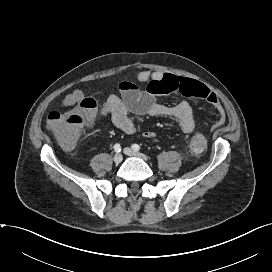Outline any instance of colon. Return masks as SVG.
Here are the masks:
<instances>
[{
    "mask_svg": "<svg viewBox=\"0 0 272 272\" xmlns=\"http://www.w3.org/2000/svg\"><path fill=\"white\" fill-rule=\"evenodd\" d=\"M95 109L94 99L84 97L79 91H74L64 100L63 111H53L48 115L47 126L62 146L73 147ZM206 144V138L197 134L191 138L190 149L194 153H201Z\"/></svg>",
    "mask_w": 272,
    "mask_h": 272,
    "instance_id": "5ec220e1",
    "label": "colon"
}]
</instances>
